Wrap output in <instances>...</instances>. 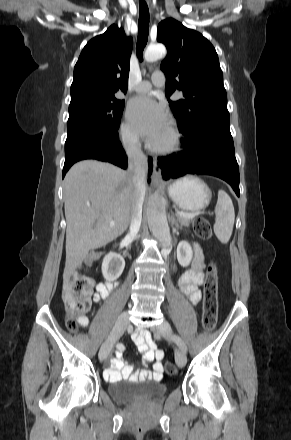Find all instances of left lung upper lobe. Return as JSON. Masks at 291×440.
I'll return each mask as SVG.
<instances>
[{"label": "left lung upper lobe", "mask_w": 291, "mask_h": 440, "mask_svg": "<svg viewBox=\"0 0 291 440\" xmlns=\"http://www.w3.org/2000/svg\"><path fill=\"white\" fill-rule=\"evenodd\" d=\"M157 41L168 50L161 64L167 77L166 96L183 92V99L169 100L180 132L189 133L211 119L229 118L223 73L213 45L172 18L158 25Z\"/></svg>", "instance_id": "5c2ea615"}]
</instances>
